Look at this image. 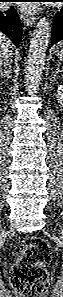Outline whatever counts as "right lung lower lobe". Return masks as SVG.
I'll use <instances>...</instances> for the list:
<instances>
[{
    "mask_svg": "<svg viewBox=\"0 0 63 297\" xmlns=\"http://www.w3.org/2000/svg\"><path fill=\"white\" fill-rule=\"evenodd\" d=\"M0 31L19 46L22 36L20 18L13 7L5 12H0Z\"/></svg>",
    "mask_w": 63,
    "mask_h": 297,
    "instance_id": "1",
    "label": "right lung lower lobe"
}]
</instances>
